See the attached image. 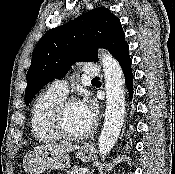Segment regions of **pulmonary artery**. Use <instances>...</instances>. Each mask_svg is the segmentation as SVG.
<instances>
[{"mask_svg": "<svg viewBox=\"0 0 175 174\" xmlns=\"http://www.w3.org/2000/svg\"><path fill=\"white\" fill-rule=\"evenodd\" d=\"M83 73L85 76L95 77L99 76L100 70L97 65L93 63H86L83 66ZM49 89L52 92L65 97L68 93V82L66 80H55L51 83Z\"/></svg>", "mask_w": 175, "mask_h": 174, "instance_id": "e3ab8cb5", "label": "pulmonary artery"}]
</instances>
